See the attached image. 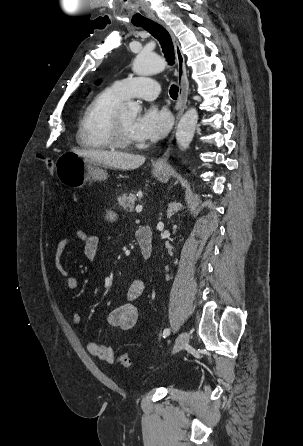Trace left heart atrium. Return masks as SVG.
I'll use <instances>...</instances> for the list:
<instances>
[{"mask_svg": "<svg viewBox=\"0 0 303 446\" xmlns=\"http://www.w3.org/2000/svg\"><path fill=\"white\" fill-rule=\"evenodd\" d=\"M171 124L172 118L168 110L152 106L136 118L133 135L137 140L156 141L166 136Z\"/></svg>", "mask_w": 303, "mask_h": 446, "instance_id": "39dd6f15", "label": "left heart atrium"}]
</instances>
